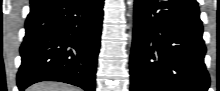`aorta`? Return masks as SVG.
I'll list each match as a JSON object with an SVG mask.
<instances>
[{"mask_svg": "<svg viewBox=\"0 0 220 91\" xmlns=\"http://www.w3.org/2000/svg\"><path fill=\"white\" fill-rule=\"evenodd\" d=\"M127 2H128L129 5H131L133 0H128Z\"/></svg>", "mask_w": 220, "mask_h": 91, "instance_id": "1", "label": "aorta"}]
</instances>
